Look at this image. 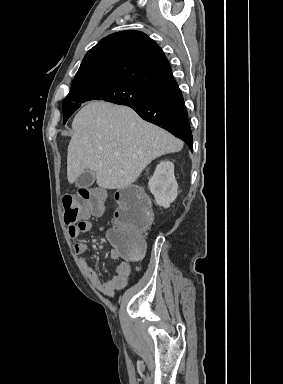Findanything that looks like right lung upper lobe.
Masks as SVG:
<instances>
[{
  "mask_svg": "<svg viewBox=\"0 0 283 384\" xmlns=\"http://www.w3.org/2000/svg\"><path fill=\"white\" fill-rule=\"evenodd\" d=\"M171 78L168 60L156 42L140 31H122L87 52L71 89L118 82L151 91Z\"/></svg>",
  "mask_w": 283,
  "mask_h": 384,
  "instance_id": "1",
  "label": "right lung upper lobe"
}]
</instances>
